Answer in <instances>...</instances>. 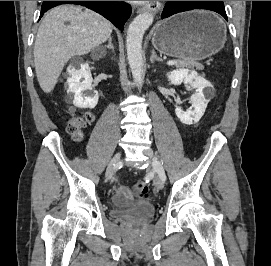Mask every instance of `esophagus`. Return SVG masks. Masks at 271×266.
Segmentation results:
<instances>
[{
  "label": "esophagus",
  "instance_id": "34e87169",
  "mask_svg": "<svg viewBox=\"0 0 271 266\" xmlns=\"http://www.w3.org/2000/svg\"><path fill=\"white\" fill-rule=\"evenodd\" d=\"M161 5L158 1H154L150 3L149 5L142 6L138 9L139 13H145V12H152L157 13L160 9Z\"/></svg>",
  "mask_w": 271,
  "mask_h": 266
}]
</instances>
